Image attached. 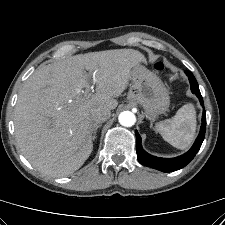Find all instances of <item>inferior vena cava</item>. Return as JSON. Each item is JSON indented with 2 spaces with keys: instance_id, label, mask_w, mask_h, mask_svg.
<instances>
[{
  "instance_id": "inferior-vena-cava-1",
  "label": "inferior vena cava",
  "mask_w": 225,
  "mask_h": 225,
  "mask_svg": "<svg viewBox=\"0 0 225 225\" xmlns=\"http://www.w3.org/2000/svg\"><path fill=\"white\" fill-rule=\"evenodd\" d=\"M111 116V111L105 107H97L91 111V120L94 125L106 121Z\"/></svg>"
}]
</instances>
